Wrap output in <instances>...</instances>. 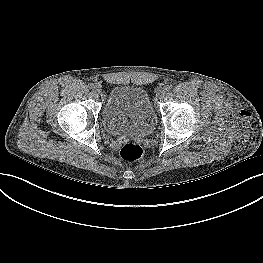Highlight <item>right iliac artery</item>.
<instances>
[{"label":"right iliac artery","mask_w":263,"mask_h":263,"mask_svg":"<svg viewBox=\"0 0 263 263\" xmlns=\"http://www.w3.org/2000/svg\"><path fill=\"white\" fill-rule=\"evenodd\" d=\"M92 88H93V89H97V88H98V85H97V84H93V85H92Z\"/></svg>","instance_id":"right-iliac-artery-1"}]
</instances>
